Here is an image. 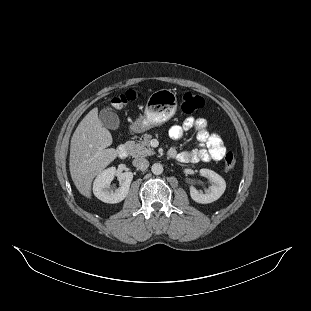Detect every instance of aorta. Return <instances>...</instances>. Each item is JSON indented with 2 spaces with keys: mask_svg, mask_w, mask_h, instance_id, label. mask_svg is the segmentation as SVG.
<instances>
[{
  "mask_svg": "<svg viewBox=\"0 0 311 311\" xmlns=\"http://www.w3.org/2000/svg\"><path fill=\"white\" fill-rule=\"evenodd\" d=\"M163 166L160 163H154L151 167V171L155 175H160L163 173Z\"/></svg>",
  "mask_w": 311,
  "mask_h": 311,
  "instance_id": "1",
  "label": "aorta"
}]
</instances>
